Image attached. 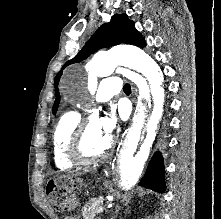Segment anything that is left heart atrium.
Returning a JSON list of instances; mask_svg holds the SVG:
<instances>
[{
	"mask_svg": "<svg viewBox=\"0 0 221 219\" xmlns=\"http://www.w3.org/2000/svg\"><path fill=\"white\" fill-rule=\"evenodd\" d=\"M100 128L102 131L109 137H111L113 131L117 126V118L113 113H110L108 116L102 118L100 121Z\"/></svg>",
	"mask_w": 221,
	"mask_h": 219,
	"instance_id": "left-heart-atrium-1",
	"label": "left heart atrium"
}]
</instances>
